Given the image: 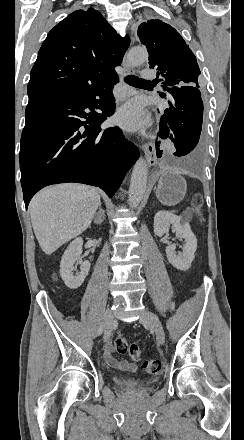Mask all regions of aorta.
<instances>
[{
	"label": "aorta",
	"mask_w": 244,
	"mask_h": 440,
	"mask_svg": "<svg viewBox=\"0 0 244 440\" xmlns=\"http://www.w3.org/2000/svg\"><path fill=\"white\" fill-rule=\"evenodd\" d=\"M148 58L146 49L141 47L132 48L127 54V63L131 67L144 63ZM148 170L145 160L141 157L137 160L132 171L129 187V205L136 208L141 202L147 187Z\"/></svg>",
	"instance_id": "obj_1"
}]
</instances>
